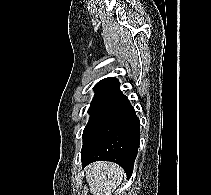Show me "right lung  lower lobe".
Masks as SVG:
<instances>
[{"label":"right lung lower lobe","mask_w":211,"mask_h":195,"mask_svg":"<svg viewBox=\"0 0 211 195\" xmlns=\"http://www.w3.org/2000/svg\"><path fill=\"white\" fill-rule=\"evenodd\" d=\"M139 127L127 97L121 91L113 94L83 140L82 167L98 160L111 161L123 167L130 178L140 144Z\"/></svg>","instance_id":"1"}]
</instances>
